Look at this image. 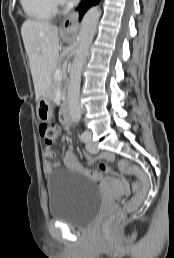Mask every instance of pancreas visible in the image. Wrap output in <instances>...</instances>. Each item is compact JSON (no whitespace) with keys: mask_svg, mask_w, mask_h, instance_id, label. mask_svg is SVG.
<instances>
[{"mask_svg":"<svg viewBox=\"0 0 174 258\" xmlns=\"http://www.w3.org/2000/svg\"><path fill=\"white\" fill-rule=\"evenodd\" d=\"M60 69V65H57L56 68L54 69V73H53V77H52V83L50 86V92H51V96L52 99L54 98L55 95V90L57 87H59L61 89L62 94H65V89L63 88L62 82H57L56 77H55V72L56 70Z\"/></svg>","mask_w":174,"mask_h":258,"instance_id":"1","label":"pancreas"}]
</instances>
